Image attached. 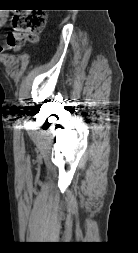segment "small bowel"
<instances>
[{
	"mask_svg": "<svg viewBox=\"0 0 138 253\" xmlns=\"http://www.w3.org/2000/svg\"><path fill=\"white\" fill-rule=\"evenodd\" d=\"M4 23V16H0V28L2 27ZM6 47L4 45H0V53L4 52Z\"/></svg>",
	"mask_w": 138,
	"mask_h": 253,
	"instance_id": "obj_1",
	"label": "small bowel"
}]
</instances>
